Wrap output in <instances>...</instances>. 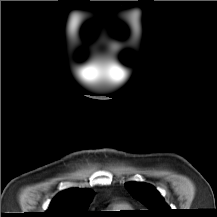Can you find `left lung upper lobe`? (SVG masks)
Returning <instances> with one entry per match:
<instances>
[{"instance_id":"obj_1","label":"left lung upper lobe","mask_w":217,"mask_h":217,"mask_svg":"<svg viewBox=\"0 0 217 217\" xmlns=\"http://www.w3.org/2000/svg\"><path fill=\"white\" fill-rule=\"evenodd\" d=\"M128 192L149 210V217H167L172 209L165 203L160 193L150 184L143 182H128L125 184Z\"/></svg>"}]
</instances>
